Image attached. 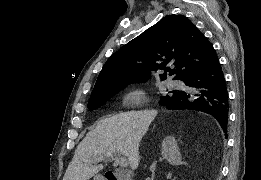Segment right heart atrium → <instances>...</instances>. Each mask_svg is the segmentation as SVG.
<instances>
[{"label":"right heart atrium","instance_id":"d8ad5b80","mask_svg":"<svg viewBox=\"0 0 261 180\" xmlns=\"http://www.w3.org/2000/svg\"><path fill=\"white\" fill-rule=\"evenodd\" d=\"M123 103L128 108L140 107L148 103V97L142 90H134L123 98Z\"/></svg>","mask_w":261,"mask_h":180}]
</instances>
